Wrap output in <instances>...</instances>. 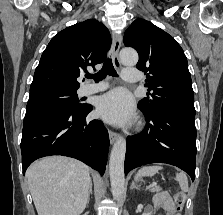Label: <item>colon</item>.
I'll return each mask as SVG.
<instances>
[{
	"mask_svg": "<svg viewBox=\"0 0 223 215\" xmlns=\"http://www.w3.org/2000/svg\"><path fill=\"white\" fill-rule=\"evenodd\" d=\"M174 201H175V207L174 209L169 213V215H177L179 211L182 209L186 202V194L180 190H178L175 193L174 196Z\"/></svg>",
	"mask_w": 223,
	"mask_h": 215,
	"instance_id": "5ec220e1",
	"label": "colon"
}]
</instances>
